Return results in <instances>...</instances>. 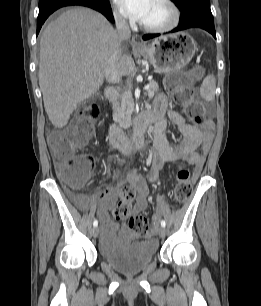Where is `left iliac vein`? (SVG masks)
Wrapping results in <instances>:
<instances>
[{"label": "left iliac vein", "instance_id": "obj_1", "mask_svg": "<svg viewBox=\"0 0 261 306\" xmlns=\"http://www.w3.org/2000/svg\"><path fill=\"white\" fill-rule=\"evenodd\" d=\"M157 231H158V235H159L161 238H164V237H165V235H166V229H165V227L160 226V227L157 228Z\"/></svg>", "mask_w": 261, "mask_h": 306}]
</instances>
